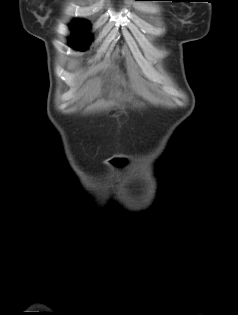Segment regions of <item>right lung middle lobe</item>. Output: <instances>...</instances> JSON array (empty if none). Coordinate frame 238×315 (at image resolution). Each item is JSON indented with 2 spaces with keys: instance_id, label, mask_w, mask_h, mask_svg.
<instances>
[{
  "instance_id": "right-lung-middle-lobe-1",
  "label": "right lung middle lobe",
  "mask_w": 238,
  "mask_h": 315,
  "mask_svg": "<svg viewBox=\"0 0 238 315\" xmlns=\"http://www.w3.org/2000/svg\"><path fill=\"white\" fill-rule=\"evenodd\" d=\"M70 28L79 35L70 39V46L77 50H86L91 41L89 22L83 19H76L70 25Z\"/></svg>"
}]
</instances>
